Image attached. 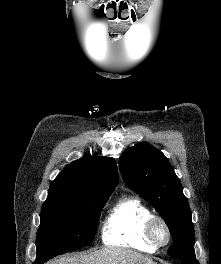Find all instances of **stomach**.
Here are the masks:
<instances>
[{"mask_svg": "<svg viewBox=\"0 0 221 264\" xmlns=\"http://www.w3.org/2000/svg\"><path fill=\"white\" fill-rule=\"evenodd\" d=\"M145 264H157L156 262H150V263H145Z\"/></svg>", "mask_w": 221, "mask_h": 264, "instance_id": "0dacf381", "label": "stomach"}]
</instances>
